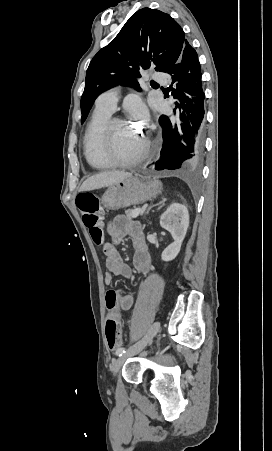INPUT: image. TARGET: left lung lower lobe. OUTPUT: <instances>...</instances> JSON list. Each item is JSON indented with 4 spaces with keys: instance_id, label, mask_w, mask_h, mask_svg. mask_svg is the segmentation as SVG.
Here are the masks:
<instances>
[{
    "instance_id": "0a47b994",
    "label": "left lung lower lobe",
    "mask_w": 272,
    "mask_h": 451,
    "mask_svg": "<svg viewBox=\"0 0 272 451\" xmlns=\"http://www.w3.org/2000/svg\"><path fill=\"white\" fill-rule=\"evenodd\" d=\"M172 77V95L177 99L176 120L160 116L164 144L156 170L188 169L199 165L204 153V100L202 72L195 49L186 42L179 60L167 72Z\"/></svg>"
}]
</instances>
